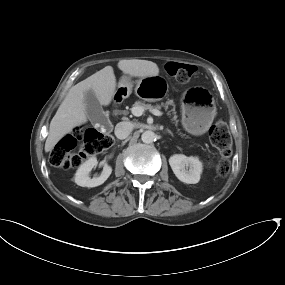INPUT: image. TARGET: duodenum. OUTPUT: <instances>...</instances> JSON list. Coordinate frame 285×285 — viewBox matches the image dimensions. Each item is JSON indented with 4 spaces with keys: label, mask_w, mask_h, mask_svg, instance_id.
I'll return each instance as SVG.
<instances>
[{
    "label": "duodenum",
    "mask_w": 285,
    "mask_h": 285,
    "mask_svg": "<svg viewBox=\"0 0 285 285\" xmlns=\"http://www.w3.org/2000/svg\"><path fill=\"white\" fill-rule=\"evenodd\" d=\"M113 101H114V104L117 105L119 103V98H118V95L117 94H114L113 96Z\"/></svg>",
    "instance_id": "duodenum-1"
}]
</instances>
